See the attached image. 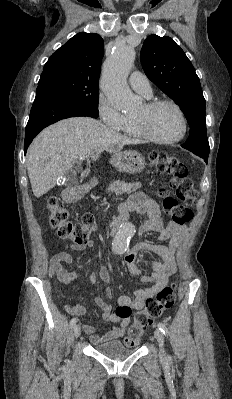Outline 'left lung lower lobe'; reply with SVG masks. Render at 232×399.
I'll return each mask as SVG.
<instances>
[{
    "instance_id": "1",
    "label": "left lung lower lobe",
    "mask_w": 232,
    "mask_h": 399,
    "mask_svg": "<svg viewBox=\"0 0 232 399\" xmlns=\"http://www.w3.org/2000/svg\"><path fill=\"white\" fill-rule=\"evenodd\" d=\"M198 156L203 158L206 163L208 162V156H202V155H198Z\"/></svg>"
}]
</instances>
